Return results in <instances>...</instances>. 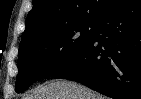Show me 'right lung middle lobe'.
<instances>
[{"instance_id":"dd1d6c3e","label":"right lung middle lobe","mask_w":141,"mask_h":99,"mask_svg":"<svg viewBox=\"0 0 141 99\" xmlns=\"http://www.w3.org/2000/svg\"><path fill=\"white\" fill-rule=\"evenodd\" d=\"M96 21L78 22L19 45L16 92L65 67L92 40Z\"/></svg>"}]
</instances>
